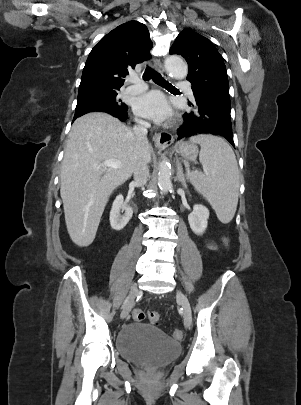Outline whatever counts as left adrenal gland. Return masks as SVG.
Wrapping results in <instances>:
<instances>
[{
  "label": "left adrenal gland",
  "mask_w": 301,
  "mask_h": 405,
  "mask_svg": "<svg viewBox=\"0 0 301 405\" xmlns=\"http://www.w3.org/2000/svg\"><path fill=\"white\" fill-rule=\"evenodd\" d=\"M176 180H178L183 186H186V179L183 173L182 165L180 163L177 164Z\"/></svg>",
  "instance_id": "obj_1"
}]
</instances>
